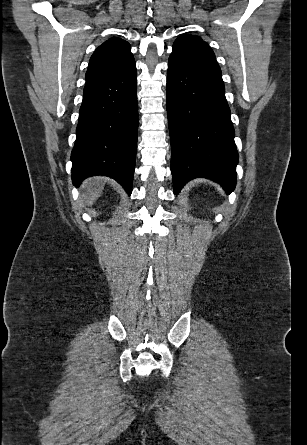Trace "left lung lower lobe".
Returning <instances> with one entry per match:
<instances>
[{"mask_svg": "<svg viewBox=\"0 0 307 445\" xmlns=\"http://www.w3.org/2000/svg\"><path fill=\"white\" fill-rule=\"evenodd\" d=\"M166 97L174 194L196 177L210 178L230 194L238 153L224 84L170 57Z\"/></svg>", "mask_w": 307, "mask_h": 445, "instance_id": "left-lung-lower-lobe-1", "label": "left lung lower lobe"}]
</instances>
